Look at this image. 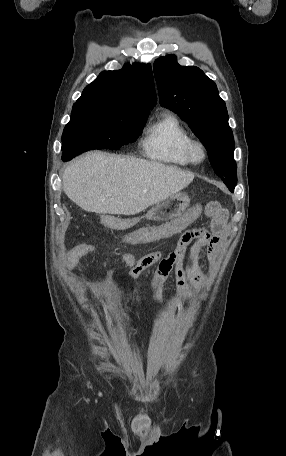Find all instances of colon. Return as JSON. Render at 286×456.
<instances>
[{
  "label": "colon",
  "mask_w": 286,
  "mask_h": 456,
  "mask_svg": "<svg viewBox=\"0 0 286 456\" xmlns=\"http://www.w3.org/2000/svg\"><path fill=\"white\" fill-rule=\"evenodd\" d=\"M206 207L210 211H215L220 208V204L217 201H211L207 203Z\"/></svg>",
  "instance_id": "1"
}]
</instances>
